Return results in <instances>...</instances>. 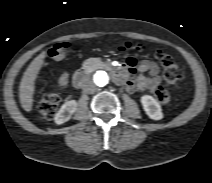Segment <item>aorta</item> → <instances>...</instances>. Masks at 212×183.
<instances>
[{
    "label": "aorta",
    "mask_w": 212,
    "mask_h": 183,
    "mask_svg": "<svg viewBox=\"0 0 212 183\" xmlns=\"http://www.w3.org/2000/svg\"><path fill=\"white\" fill-rule=\"evenodd\" d=\"M109 80V72L105 70H98L91 74L89 81L92 82L96 87L102 88L109 83Z\"/></svg>",
    "instance_id": "1"
}]
</instances>
